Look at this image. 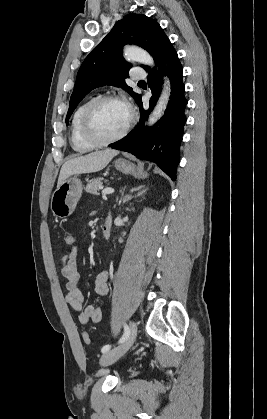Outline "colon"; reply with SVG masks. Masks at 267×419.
Listing matches in <instances>:
<instances>
[{"mask_svg":"<svg viewBox=\"0 0 267 419\" xmlns=\"http://www.w3.org/2000/svg\"><path fill=\"white\" fill-rule=\"evenodd\" d=\"M63 242L67 246V248H70L75 244V238L71 233H66L63 236ZM82 336H83V340L86 344H89L91 342V338H90L89 333L84 332Z\"/></svg>","mask_w":267,"mask_h":419,"instance_id":"5ec220e1","label":"colon"}]
</instances>
